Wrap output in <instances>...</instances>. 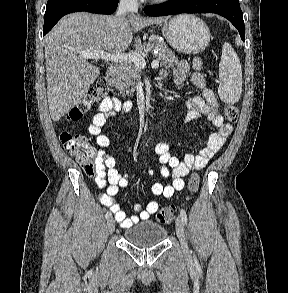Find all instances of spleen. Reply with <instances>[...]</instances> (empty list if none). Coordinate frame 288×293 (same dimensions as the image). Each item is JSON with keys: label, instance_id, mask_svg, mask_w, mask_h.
<instances>
[{"label": "spleen", "instance_id": "obj_1", "mask_svg": "<svg viewBox=\"0 0 288 293\" xmlns=\"http://www.w3.org/2000/svg\"><path fill=\"white\" fill-rule=\"evenodd\" d=\"M219 78L220 99L228 104L238 102L242 92V68L236 52L229 43L222 46Z\"/></svg>", "mask_w": 288, "mask_h": 293}]
</instances>
